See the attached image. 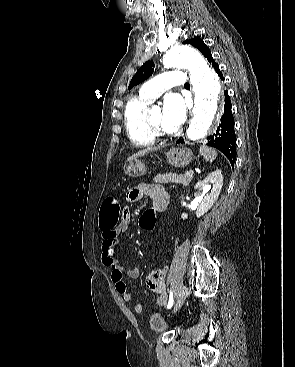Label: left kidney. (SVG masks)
Instances as JSON below:
<instances>
[{"label":"left kidney","mask_w":295,"mask_h":367,"mask_svg":"<svg viewBox=\"0 0 295 367\" xmlns=\"http://www.w3.org/2000/svg\"><path fill=\"white\" fill-rule=\"evenodd\" d=\"M223 185V175L220 170H216L208 174L204 179L198 181L195 185V189H203L207 193L203 195L201 201H199L196 216L199 218L203 216L218 199ZM181 218L183 220L188 218L186 213H182Z\"/></svg>","instance_id":"1"}]
</instances>
